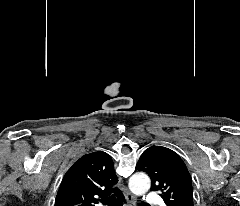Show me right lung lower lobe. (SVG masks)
<instances>
[{"instance_id": "obj_1", "label": "right lung lower lobe", "mask_w": 240, "mask_h": 206, "mask_svg": "<svg viewBox=\"0 0 240 206\" xmlns=\"http://www.w3.org/2000/svg\"><path fill=\"white\" fill-rule=\"evenodd\" d=\"M120 201H123L124 200V196L122 194V196L119 197Z\"/></svg>"}]
</instances>
